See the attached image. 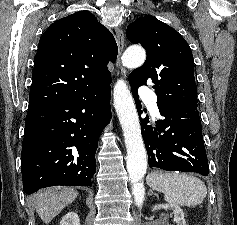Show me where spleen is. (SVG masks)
<instances>
[{"label": "spleen", "mask_w": 237, "mask_h": 225, "mask_svg": "<svg viewBox=\"0 0 237 225\" xmlns=\"http://www.w3.org/2000/svg\"><path fill=\"white\" fill-rule=\"evenodd\" d=\"M147 182L153 190L163 193L170 204L196 206L207 194L204 182L191 174L155 171L149 174Z\"/></svg>", "instance_id": "obj_1"}]
</instances>
